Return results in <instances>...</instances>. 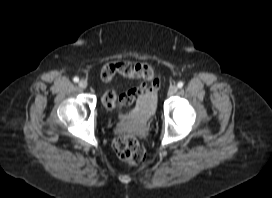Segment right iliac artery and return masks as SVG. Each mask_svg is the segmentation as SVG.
Returning a JSON list of instances; mask_svg holds the SVG:
<instances>
[{
    "mask_svg": "<svg viewBox=\"0 0 272 198\" xmlns=\"http://www.w3.org/2000/svg\"><path fill=\"white\" fill-rule=\"evenodd\" d=\"M73 81H74V82H78V81H79V78H78V77H74V78H73Z\"/></svg>",
    "mask_w": 272,
    "mask_h": 198,
    "instance_id": "82829eb1",
    "label": "right iliac artery"
}]
</instances>
